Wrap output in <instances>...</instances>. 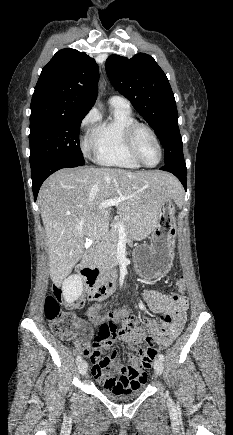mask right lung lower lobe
Wrapping results in <instances>:
<instances>
[{"instance_id":"98d812e1","label":"right lung lower lobe","mask_w":233,"mask_h":435,"mask_svg":"<svg viewBox=\"0 0 233 435\" xmlns=\"http://www.w3.org/2000/svg\"><path fill=\"white\" fill-rule=\"evenodd\" d=\"M78 165L60 159H48L31 166L32 189L34 199H37L39 189L44 180L55 171L62 168L77 167Z\"/></svg>"}]
</instances>
